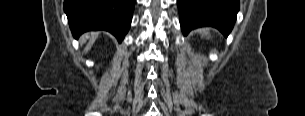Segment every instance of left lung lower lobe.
<instances>
[{
  "instance_id": "obj_1",
  "label": "left lung lower lobe",
  "mask_w": 305,
  "mask_h": 116,
  "mask_svg": "<svg viewBox=\"0 0 305 116\" xmlns=\"http://www.w3.org/2000/svg\"><path fill=\"white\" fill-rule=\"evenodd\" d=\"M184 35L203 26L217 28L225 37L233 29L239 0H177Z\"/></svg>"
}]
</instances>
